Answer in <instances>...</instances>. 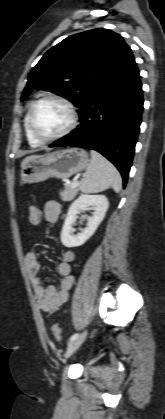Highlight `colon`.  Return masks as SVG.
<instances>
[{"instance_id":"5ec220e1","label":"colon","mask_w":165,"mask_h":419,"mask_svg":"<svg viewBox=\"0 0 165 419\" xmlns=\"http://www.w3.org/2000/svg\"><path fill=\"white\" fill-rule=\"evenodd\" d=\"M40 219H41L40 209L36 206L30 207V209H29V221H30V223L32 225H37V224H39ZM52 333H53L54 338L57 341L62 340V332H61V329H60L58 324L53 325Z\"/></svg>"}]
</instances>
